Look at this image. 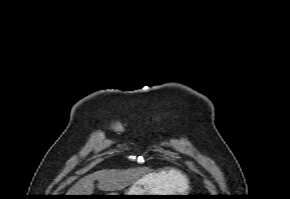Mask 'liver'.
<instances>
[{
	"instance_id": "6515ba94",
	"label": "liver",
	"mask_w": 290,
	"mask_h": 199,
	"mask_svg": "<svg viewBox=\"0 0 290 199\" xmlns=\"http://www.w3.org/2000/svg\"><path fill=\"white\" fill-rule=\"evenodd\" d=\"M141 173L136 170H101L81 178L67 192V195H92L94 181L97 180L98 188L102 191L122 190L129 184L138 180ZM152 176V174L146 175ZM158 179L165 181L164 186L183 190L186 188V177L177 170L162 171L157 174ZM145 177V176H144Z\"/></svg>"
}]
</instances>
